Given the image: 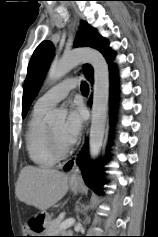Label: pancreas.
I'll return each mask as SVG.
<instances>
[{
    "label": "pancreas",
    "mask_w": 158,
    "mask_h": 237,
    "mask_svg": "<svg viewBox=\"0 0 158 237\" xmlns=\"http://www.w3.org/2000/svg\"><path fill=\"white\" fill-rule=\"evenodd\" d=\"M60 224L61 221L58 219L49 221L45 225V233L47 236H59V235H64L66 233L65 230L60 229Z\"/></svg>",
    "instance_id": "obj_1"
}]
</instances>
